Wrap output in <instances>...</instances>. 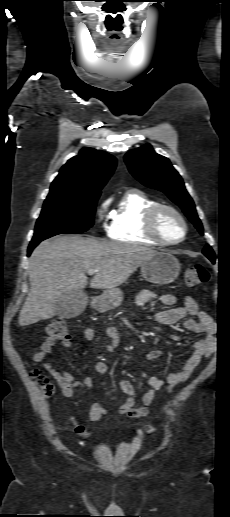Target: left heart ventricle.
Segmentation results:
<instances>
[{"instance_id": "obj_1", "label": "left heart ventricle", "mask_w": 230, "mask_h": 517, "mask_svg": "<svg viewBox=\"0 0 230 517\" xmlns=\"http://www.w3.org/2000/svg\"><path fill=\"white\" fill-rule=\"evenodd\" d=\"M158 227L162 236L167 240H176L183 232L181 222L175 215L169 212L162 214Z\"/></svg>"}]
</instances>
